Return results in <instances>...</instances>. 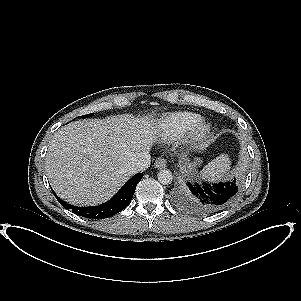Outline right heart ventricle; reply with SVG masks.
<instances>
[{"instance_id":"obj_1","label":"right heart ventricle","mask_w":301,"mask_h":301,"mask_svg":"<svg viewBox=\"0 0 301 301\" xmlns=\"http://www.w3.org/2000/svg\"><path fill=\"white\" fill-rule=\"evenodd\" d=\"M200 115L189 111L164 114L156 124V131L165 141H172L185 135L200 119Z\"/></svg>"}]
</instances>
